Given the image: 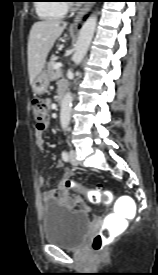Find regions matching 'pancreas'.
<instances>
[{
  "instance_id": "pancreas-1",
  "label": "pancreas",
  "mask_w": 158,
  "mask_h": 275,
  "mask_svg": "<svg viewBox=\"0 0 158 275\" xmlns=\"http://www.w3.org/2000/svg\"><path fill=\"white\" fill-rule=\"evenodd\" d=\"M55 64H56L55 58H52L48 63L47 74H48L49 80H56L63 75V72L61 69H54Z\"/></svg>"
}]
</instances>
